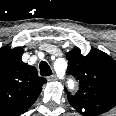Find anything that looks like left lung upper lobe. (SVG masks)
I'll return each mask as SVG.
<instances>
[{
	"instance_id": "1",
	"label": "left lung upper lobe",
	"mask_w": 116,
	"mask_h": 116,
	"mask_svg": "<svg viewBox=\"0 0 116 116\" xmlns=\"http://www.w3.org/2000/svg\"><path fill=\"white\" fill-rule=\"evenodd\" d=\"M67 73L79 79L74 95L65 89L69 103L82 115L102 114L116 105V61L93 48L85 56L79 48L66 53Z\"/></svg>"
}]
</instances>
